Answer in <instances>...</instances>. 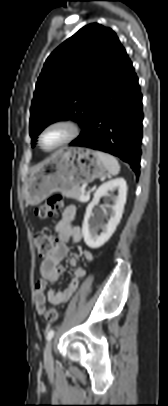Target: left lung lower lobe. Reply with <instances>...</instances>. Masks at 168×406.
I'll list each match as a JSON object with an SVG mask.
<instances>
[{"label":"left lung lower lobe","instance_id":"obj_1","mask_svg":"<svg viewBox=\"0 0 168 406\" xmlns=\"http://www.w3.org/2000/svg\"><path fill=\"white\" fill-rule=\"evenodd\" d=\"M142 95L126 51L102 88L80 136L70 143L104 151L129 163L138 177L142 141Z\"/></svg>","mask_w":168,"mask_h":406}]
</instances>
